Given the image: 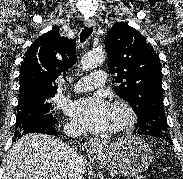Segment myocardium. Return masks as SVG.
<instances>
[{"label": "myocardium", "instance_id": "1", "mask_svg": "<svg viewBox=\"0 0 183 179\" xmlns=\"http://www.w3.org/2000/svg\"><path fill=\"white\" fill-rule=\"evenodd\" d=\"M111 108L118 109L123 113L122 121L110 128L111 133H122L133 128L136 123L137 116L130 103L125 100H115L112 102Z\"/></svg>", "mask_w": 183, "mask_h": 179}]
</instances>
